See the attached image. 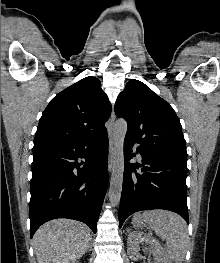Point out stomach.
<instances>
[{"label":"stomach","instance_id":"1","mask_svg":"<svg viewBox=\"0 0 220 263\" xmlns=\"http://www.w3.org/2000/svg\"><path fill=\"white\" fill-rule=\"evenodd\" d=\"M132 223H133V226L138 227V228H142V227L151 225L149 221L145 220L143 215H140V214H137L133 217Z\"/></svg>","mask_w":220,"mask_h":263}]
</instances>
